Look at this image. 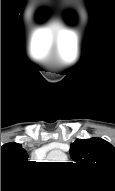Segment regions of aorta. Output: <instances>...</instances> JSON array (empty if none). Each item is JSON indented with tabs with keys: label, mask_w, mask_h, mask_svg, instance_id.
<instances>
[{
	"label": "aorta",
	"mask_w": 115,
	"mask_h": 191,
	"mask_svg": "<svg viewBox=\"0 0 115 191\" xmlns=\"http://www.w3.org/2000/svg\"><path fill=\"white\" fill-rule=\"evenodd\" d=\"M49 160L54 162H65L67 160V156L62 151H53L49 155Z\"/></svg>",
	"instance_id": "aorta-1"
}]
</instances>
